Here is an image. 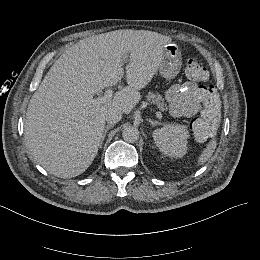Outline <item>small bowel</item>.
<instances>
[{
	"instance_id": "1",
	"label": "small bowel",
	"mask_w": 260,
	"mask_h": 260,
	"mask_svg": "<svg viewBox=\"0 0 260 260\" xmlns=\"http://www.w3.org/2000/svg\"><path fill=\"white\" fill-rule=\"evenodd\" d=\"M166 96L171 114L176 117L192 116L201 109V105L206 109L211 98L205 86L191 84L173 85Z\"/></svg>"
}]
</instances>
